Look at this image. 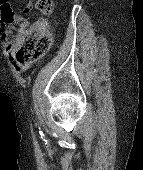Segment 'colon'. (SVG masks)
<instances>
[{
    "label": "colon",
    "instance_id": "1",
    "mask_svg": "<svg viewBox=\"0 0 143 170\" xmlns=\"http://www.w3.org/2000/svg\"><path fill=\"white\" fill-rule=\"evenodd\" d=\"M36 7L44 16H50L54 11L52 0H37ZM0 15L4 22H11L15 13L9 0H0ZM53 34L45 19H40L28 27L22 34L16 51L19 62L27 63L43 57L50 49Z\"/></svg>",
    "mask_w": 143,
    "mask_h": 170
}]
</instances>
